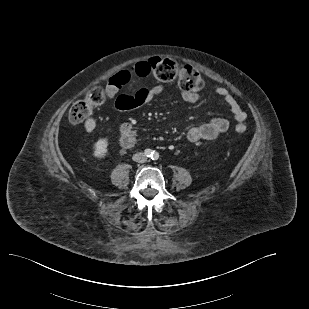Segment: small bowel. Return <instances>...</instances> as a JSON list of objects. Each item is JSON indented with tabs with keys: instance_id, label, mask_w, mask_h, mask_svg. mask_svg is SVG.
Returning a JSON list of instances; mask_svg holds the SVG:
<instances>
[{
	"instance_id": "1",
	"label": "small bowel",
	"mask_w": 309,
	"mask_h": 309,
	"mask_svg": "<svg viewBox=\"0 0 309 309\" xmlns=\"http://www.w3.org/2000/svg\"><path fill=\"white\" fill-rule=\"evenodd\" d=\"M151 73L150 65L147 61L139 62L134 66L123 69L111 76L106 85V94L109 98H114L118 92L127 85L134 77H146ZM165 92L162 84L152 87L140 88L134 94L120 95L116 99V107L121 111H127L142 105L150 103L156 97ZM216 94L223 99L229 106L234 119L237 123H243L246 120V113L243 111L232 93L225 87H216ZM183 99L188 103H196L200 96L196 92H183ZM229 128V121L225 118H212L206 123L191 127L187 132V138L191 142L200 140H213ZM136 132L131 123H123L120 127V144L123 148L128 149L136 143Z\"/></svg>"
}]
</instances>
